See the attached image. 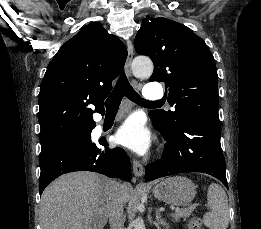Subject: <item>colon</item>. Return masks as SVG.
Segmentation results:
<instances>
[{"instance_id":"obj_1","label":"colon","mask_w":261,"mask_h":229,"mask_svg":"<svg viewBox=\"0 0 261 229\" xmlns=\"http://www.w3.org/2000/svg\"><path fill=\"white\" fill-rule=\"evenodd\" d=\"M202 222L199 217H194L189 220L187 229H201Z\"/></svg>"}]
</instances>
